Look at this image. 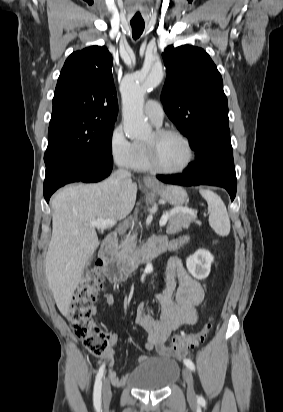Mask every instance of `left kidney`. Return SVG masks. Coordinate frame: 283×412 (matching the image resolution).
I'll list each match as a JSON object with an SVG mask.
<instances>
[{"mask_svg": "<svg viewBox=\"0 0 283 412\" xmlns=\"http://www.w3.org/2000/svg\"><path fill=\"white\" fill-rule=\"evenodd\" d=\"M213 261L214 257L209 251L200 249L186 259V266L194 278L203 280L208 277Z\"/></svg>", "mask_w": 283, "mask_h": 412, "instance_id": "5707ae66", "label": "left kidney"}]
</instances>
